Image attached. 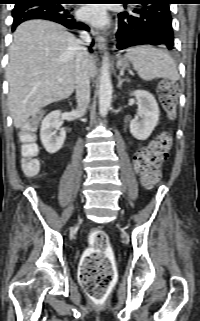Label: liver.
I'll return each instance as SVG.
<instances>
[{
  "label": "liver",
  "instance_id": "1",
  "mask_svg": "<svg viewBox=\"0 0 200 321\" xmlns=\"http://www.w3.org/2000/svg\"><path fill=\"white\" fill-rule=\"evenodd\" d=\"M76 42L74 35L50 21L30 20L17 27L6 69L8 105L16 128L41 108L73 93ZM88 69L89 76L94 77L92 56L88 57Z\"/></svg>",
  "mask_w": 200,
  "mask_h": 321
}]
</instances>
